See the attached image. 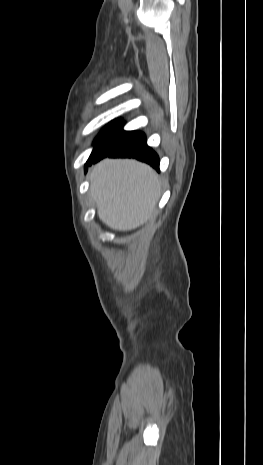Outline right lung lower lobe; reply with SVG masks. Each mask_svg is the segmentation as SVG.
<instances>
[{
    "instance_id": "right-lung-lower-lobe-1",
    "label": "right lung lower lobe",
    "mask_w": 263,
    "mask_h": 465,
    "mask_svg": "<svg viewBox=\"0 0 263 465\" xmlns=\"http://www.w3.org/2000/svg\"><path fill=\"white\" fill-rule=\"evenodd\" d=\"M105 157L136 158L159 170V158L147 145L145 134L139 131H124L122 123L105 139L87 164L91 165Z\"/></svg>"
}]
</instances>
